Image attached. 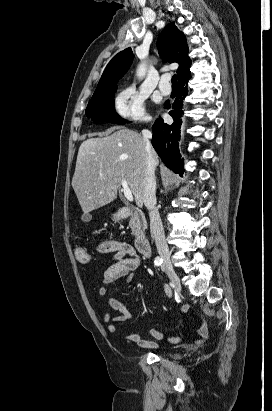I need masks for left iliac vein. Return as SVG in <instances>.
I'll return each mask as SVG.
<instances>
[{
    "label": "left iliac vein",
    "instance_id": "4c4485c4",
    "mask_svg": "<svg viewBox=\"0 0 272 411\" xmlns=\"http://www.w3.org/2000/svg\"><path fill=\"white\" fill-rule=\"evenodd\" d=\"M162 271H165L164 268H163V266H162Z\"/></svg>",
    "mask_w": 272,
    "mask_h": 411
}]
</instances>
